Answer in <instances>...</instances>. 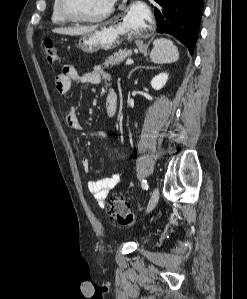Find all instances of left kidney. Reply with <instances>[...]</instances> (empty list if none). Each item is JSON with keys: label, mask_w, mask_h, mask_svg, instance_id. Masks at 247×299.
I'll return each instance as SVG.
<instances>
[{"label": "left kidney", "mask_w": 247, "mask_h": 299, "mask_svg": "<svg viewBox=\"0 0 247 299\" xmlns=\"http://www.w3.org/2000/svg\"><path fill=\"white\" fill-rule=\"evenodd\" d=\"M168 80L167 73H160L159 75L155 76L151 81V86L155 90L162 89Z\"/></svg>", "instance_id": "5707ae66"}]
</instances>
